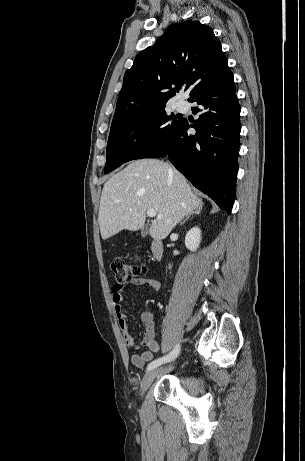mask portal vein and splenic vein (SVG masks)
I'll list each match as a JSON object with an SVG mask.
<instances>
[{"label": "portal vein and splenic vein", "mask_w": 305, "mask_h": 461, "mask_svg": "<svg viewBox=\"0 0 305 461\" xmlns=\"http://www.w3.org/2000/svg\"><path fill=\"white\" fill-rule=\"evenodd\" d=\"M147 215H148L149 217H151V218L156 217V216H157V218H159V219L162 218V215H157V212H156L154 209H148V210H147Z\"/></svg>", "instance_id": "18ae733b"}]
</instances>
